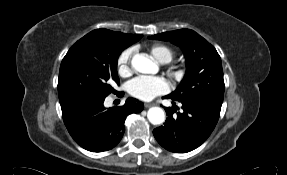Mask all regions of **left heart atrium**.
I'll list each match as a JSON object with an SVG mask.
<instances>
[{
	"label": "left heart atrium",
	"instance_id": "left-heart-atrium-1",
	"mask_svg": "<svg viewBox=\"0 0 287 175\" xmlns=\"http://www.w3.org/2000/svg\"><path fill=\"white\" fill-rule=\"evenodd\" d=\"M169 83L163 77L138 76L127 84L128 93L139 100L149 101L169 91Z\"/></svg>",
	"mask_w": 287,
	"mask_h": 175
}]
</instances>
